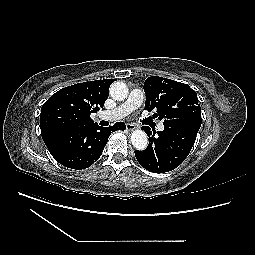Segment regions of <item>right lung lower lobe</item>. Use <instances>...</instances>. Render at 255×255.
I'll return each instance as SVG.
<instances>
[{
    "label": "right lung lower lobe",
    "instance_id": "98d812e1",
    "mask_svg": "<svg viewBox=\"0 0 255 255\" xmlns=\"http://www.w3.org/2000/svg\"><path fill=\"white\" fill-rule=\"evenodd\" d=\"M125 128L122 122L109 127L95 124L60 138L48 149L54 159L63 166L76 170L84 169L99 159L110 134Z\"/></svg>",
    "mask_w": 255,
    "mask_h": 255
}]
</instances>
